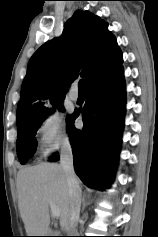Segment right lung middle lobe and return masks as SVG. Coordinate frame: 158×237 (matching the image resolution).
I'll use <instances>...</instances> for the list:
<instances>
[{
    "label": "right lung middle lobe",
    "mask_w": 158,
    "mask_h": 237,
    "mask_svg": "<svg viewBox=\"0 0 158 237\" xmlns=\"http://www.w3.org/2000/svg\"><path fill=\"white\" fill-rule=\"evenodd\" d=\"M63 100L52 103L53 108L42 110L40 113L17 119L18 139L16 141L17 155L21 164H25L36 151V132L48 114L56 108L64 111Z\"/></svg>",
    "instance_id": "1"
}]
</instances>
